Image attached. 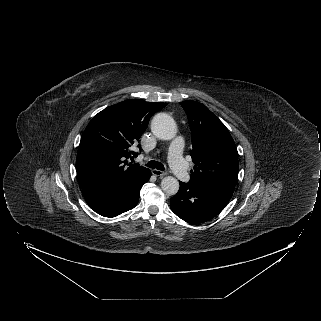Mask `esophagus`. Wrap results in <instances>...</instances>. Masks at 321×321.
I'll return each mask as SVG.
<instances>
[{
  "mask_svg": "<svg viewBox=\"0 0 321 321\" xmlns=\"http://www.w3.org/2000/svg\"><path fill=\"white\" fill-rule=\"evenodd\" d=\"M152 174L155 175V176H165V175H167V173L165 171H161V170H158V169H153L152 170Z\"/></svg>",
  "mask_w": 321,
  "mask_h": 321,
  "instance_id": "obj_1",
  "label": "esophagus"
}]
</instances>
